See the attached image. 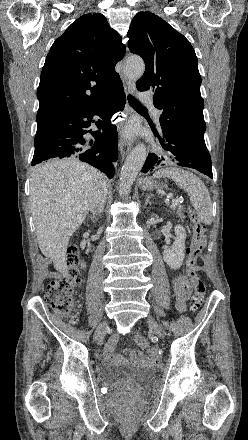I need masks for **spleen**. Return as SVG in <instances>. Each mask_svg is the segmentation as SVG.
I'll list each match as a JSON object with an SVG mask.
<instances>
[{
  "mask_svg": "<svg viewBox=\"0 0 248 440\" xmlns=\"http://www.w3.org/2000/svg\"><path fill=\"white\" fill-rule=\"evenodd\" d=\"M154 178L167 177L172 179L176 185L184 189L197 212V216L202 223L210 225L212 223V201L207 187L199 177L180 168L168 167L160 169L153 174Z\"/></svg>",
  "mask_w": 248,
  "mask_h": 440,
  "instance_id": "obj_1",
  "label": "spleen"
}]
</instances>
